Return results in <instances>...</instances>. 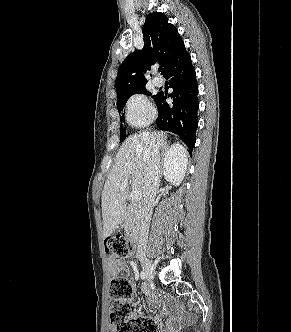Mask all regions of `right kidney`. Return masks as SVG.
I'll list each match as a JSON object with an SVG mask.
<instances>
[{"label": "right kidney", "mask_w": 291, "mask_h": 332, "mask_svg": "<svg viewBox=\"0 0 291 332\" xmlns=\"http://www.w3.org/2000/svg\"><path fill=\"white\" fill-rule=\"evenodd\" d=\"M187 166V158L182 152L179 144L171 146L164 158V176L165 179L175 186L182 182Z\"/></svg>", "instance_id": "obj_1"}]
</instances>
